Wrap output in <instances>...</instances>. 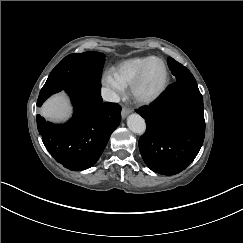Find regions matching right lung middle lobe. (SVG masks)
<instances>
[{"mask_svg":"<svg viewBox=\"0 0 243 243\" xmlns=\"http://www.w3.org/2000/svg\"><path fill=\"white\" fill-rule=\"evenodd\" d=\"M105 55L99 52H84L70 54L63 58L52 70L46 83L40 91L37 106L52 94L75 83L101 85L102 69Z\"/></svg>","mask_w":243,"mask_h":243,"instance_id":"1","label":"right lung middle lobe"}]
</instances>
